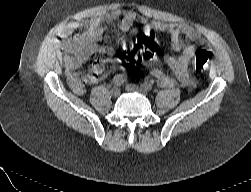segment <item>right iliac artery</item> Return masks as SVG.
I'll use <instances>...</instances> for the list:
<instances>
[{"mask_svg":"<svg viewBox=\"0 0 251 192\" xmlns=\"http://www.w3.org/2000/svg\"><path fill=\"white\" fill-rule=\"evenodd\" d=\"M126 81H127V78L124 75L117 74L113 77L111 84L113 86H121Z\"/></svg>","mask_w":251,"mask_h":192,"instance_id":"82829eb1","label":"right iliac artery"}]
</instances>
